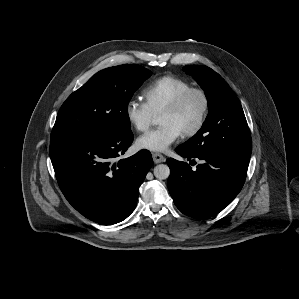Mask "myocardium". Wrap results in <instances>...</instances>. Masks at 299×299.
Wrapping results in <instances>:
<instances>
[{
  "label": "myocardium",
  "instance_id": "1",
  "mask_svg": "<svg viewBox=\"0 0 299 299\" xmlns=\"http://www.w3.org/2000/svg\"><path fill=\"white\" fill-rule=\"evenodd\" d=\"M198 95L202 101V109L200 115L194 125L185 129L182 135L191 137L196 135L204 126L210 110V98L207 91L199 87H191L178 95L162 112V113H176L181 110L190 97Z\"/></svg>",
  "mask_w": 299,
  "mask_h": 299
}]
</instances>
